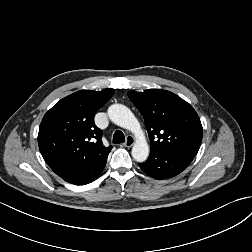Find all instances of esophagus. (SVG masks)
<instances>
[{"mask_svg": "<svg viewBox=\"0 0 252 252\" xmlns=\"http://www.w3.org/2000/svg\"><path fill=\"white\" fill-rule=\"evenodd\" d=\"M134 143H135L134 137L132 135H128L124 143V146L129 148L133 146Z\"/></svg>", "mask_w": 252, "mask_h": 252, "instance_id": "1", "label": "esophagus"}]
</instances>
